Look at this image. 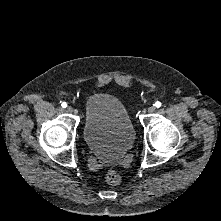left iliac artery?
I'll list each match as a JSON object with an SVG mask.
<instances>
[{
    "mask_svg": "<svg viewBox=\"0 0 221 221\" xmlns=\"http://www.w3.org/2000/svg\"><path fill=\"white\" fill-rule=\"evenodd\" d=\"M155 106H156L157 108H159V107L161 106V102L157 101V102L155 103Z\"/></svg>",
    "mask_w": 221,
    "mask_h": 221,
    "instance_id": "1",
    "label": "left iliac artery"
}]
</instances>
